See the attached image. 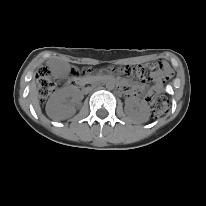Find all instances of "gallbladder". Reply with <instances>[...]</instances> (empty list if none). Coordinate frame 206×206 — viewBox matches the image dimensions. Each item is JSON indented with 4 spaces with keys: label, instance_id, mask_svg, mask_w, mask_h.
Here are the masks:
<instances>
[{
    "label": "gallbladder",
    "instance_id": "gallbladder-1",
    "mask_svg": "<svg viewBox=\"0 0 206 206\" xmlns=\"http://www.w3.org/2000/svg\"><path fill=\"white\" fill-rule=\"evenodd\" d=\"M48 66L56 79H64L70 72V65L57 59L49 61Z\"/></svg>",
    "mask_w": 206,
    "mask_h": 206
}]
</instances>
